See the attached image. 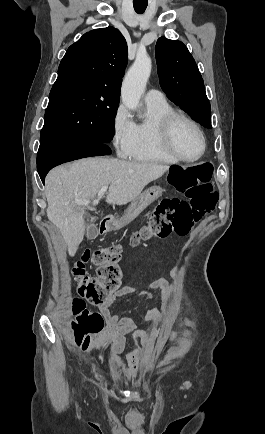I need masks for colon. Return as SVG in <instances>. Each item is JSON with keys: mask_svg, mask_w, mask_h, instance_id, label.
<instances>
[{"mask_svg": "<svg viewBox=\"0 0 265 434\" xmlns=\"http://www.w3.org/2000/svg\"><path fill=\"white\" fill-rule=\"evenodd\" d=\"M212 174L211 164H172L171 168H167V177H172L173 189H186V199H162L151 212L148 225L132 235V243L139 245L148 239L186 236L204 214L215 210L218 203L219 194L211 183ZM123 252L120 244L98 248L87 252L73 267L81 299L70 304L76 310L70 313L73 322L68 332L84 331L75 335L74 346L87 347L89 335H96L97 327H103V318L94 310H88L84 300L92 305H101L119 290L123 273L119 263ZM89 262L98 267L96 277L85 272ZM70 298L74 301L77 297L73 294Z\"/></svg>", "mask_w": 265, "mask_h": 434, "instance_id": "1", "label": "colon"}]
</instances>
